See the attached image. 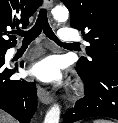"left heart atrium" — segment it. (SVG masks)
Here are the masks:
<instances>
[{"instance_id": "39dd6f15", "label": "left heart atrium", "mask_w": 118, "mask_h": 123, "mask_svg": "<svg viewBox=\"0 0 118 123\" xmlns=\"http://www.w3.org/2000/svg\"><path fill=\"white\" fill-rule=\"evenodd\" d=\"M30 73L45 83H58L62 78L60 66L54 57L38 61L31 67Z\"/></svg>"}]
</instances>
